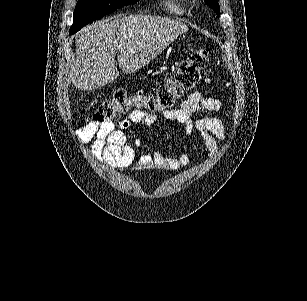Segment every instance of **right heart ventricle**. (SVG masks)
Segmentation results:
<instances>
[{
  "mask_svg": "<svg viewBox=\"0 0 307 301\" xmlns=\"http://www.w3.org/2000/svg\"><path fill=\"white\" fill-rule=\"evenodd\" d=\"M167 5H161V12H165V17H180V10H173L174 6L178 5H169L170 0H165ZM178 1V0H175Z\"/></svg>",
  "mask_w": 307,
  "mask_h": 301,
  "instance_id": "right-heart-ventricle-1",
  "label": "right heart ventricle"
}]
</instances>
